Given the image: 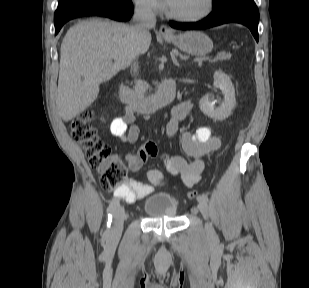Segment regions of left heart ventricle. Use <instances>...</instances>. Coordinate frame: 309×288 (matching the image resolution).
I'll return each mask as SVG.
<instances>
[{"label":"left heart ventricle","mask_w":309,"mask_h":288,"mask_svg":"<svg viewBox=\"0 0 309 288\" xmlns=\"http://www.w3.org/2000/svg\"><path fill=\"white\" fill-rule=\"evenodd\" d=\"M168 7L174 13L194 16L205 10L206 0H171Z\"/></svg>","instance_id":"1"}]
</instances>
